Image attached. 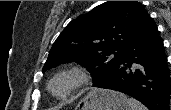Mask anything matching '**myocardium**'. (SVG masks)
<instances>
[{"instance_id": "f54148a6", "label": "myocardium", "mask_w": 171, "mask_h": 110, "mask_svg": "<svg viewBox=\"0 0 171 110\" xmlns=\"http://www.w3.org/2000/svg\"><path fill=\"white\" fill-rule=\"evenodd\" d=\"M61 79L67 80V87L63 93L57 94L53 91V85L56 81ZM91 82L92 75L88 69L80 65H70L54 73L48 82L47 89L53 97L57 99H66L75 92L90 85Z\"/></svg>"}]
</instances>
